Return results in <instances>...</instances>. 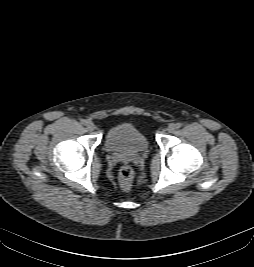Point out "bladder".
Segmentation results:
<instances>
[{
	"label": "bladder",
	"instance_id": "31cf9c89",
	"mask_svg": "<svg viewBox=\"0 0 254 267\" xmlns=\"http://www.w3.org/2000/svg\"><path fill=\"white\" fill-rule=\"evenodd\" d=\"M105 149L112 153L135 155L148 148L145 134L131 123L112 126L105 135Z\"/></svg>",
	"mask_w": 254,
	"mask_h": 267
}]
</instances>
